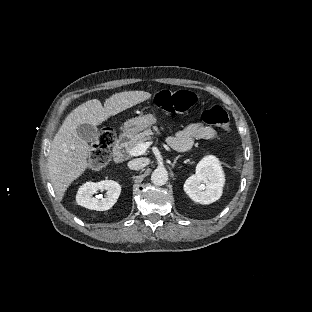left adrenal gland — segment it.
<instances>
[{"mask_svg": "<svg viewBox=\"0 0 312 312\" xmlns=\"http://www.w3.org/2000/svg\"><path fill=\"white\" fill-rule=\"evenodd\" d=\"M179 157H181V155H178V156L174 159L173 163L170 164L172 167L175 166V164H176V162H177V160H178Z\"/></svg>", "mask_w": 312, "mask_h": 312, "instance_id": "left-adrenal-gland-1", "label": "left adrenal gland"}]
</instances>
